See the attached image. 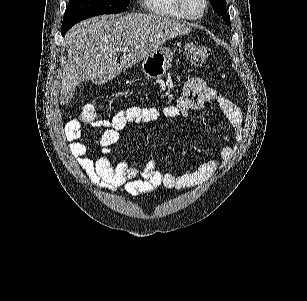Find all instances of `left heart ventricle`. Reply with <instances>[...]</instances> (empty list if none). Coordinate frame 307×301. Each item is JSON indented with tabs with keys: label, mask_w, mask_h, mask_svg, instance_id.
Listing matches in <instances>:
<instances>
[{
	"label": "left heart ventricle",
	"mask_w": 307,
	"mask_h": 301,
	"mask_svg": "<svg viewBox=\"0 0 307 301\" xmlns=\"http://www.w3.org/2000/svg\"><path fill=\"white\" fill-rule=\"evenodd\" d=\"M190 5H197V0H186ZM187 13H198V6H190Z\"/></svg>",
	"instance_id": "1"
}]
</instances>
